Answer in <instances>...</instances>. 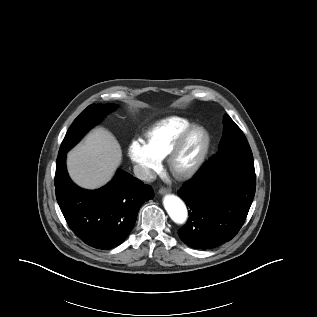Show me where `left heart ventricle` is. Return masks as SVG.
<instances>
[{
    "label": "left heart ventricle",
    "instance_id": "b2bd125f",
    "mask_svg": "<svg viewBox=\"0 0 317 317\" xmlns=\"http://www.w3.org/2000/svg\"><path fill=\"white\" fill-rule=\"evenodd\" d=\"M201 145V136L199 134L193 135L186 143L183 151L181 152L177 165L185 167L189 165L197 156Z\"/></svg>",
    "mask_w": 317,
    "mask_h": 317
}]
</instances>
